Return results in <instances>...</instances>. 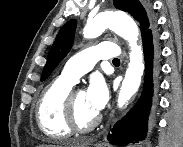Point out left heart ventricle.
<instances>
[{"mask_svg":"<svg viewBox=\"0 0 183 147\" xmlns=\"http://www.w3.org/2000/svg\"><path fill=\"white\" fill-rule=\"evenodd\" d=\"M75 110L77 120L81 125L88 124L97 115L88 104L86 94L83 91H77L75 95Z\"/></svg>","mask_w":183,"mask_h":147,"instance_id":"b2bd125f","label":"left heart ventricle"}]
</instances>
